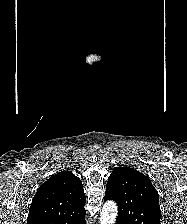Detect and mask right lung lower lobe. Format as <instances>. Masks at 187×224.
<instances>
[{"instance_id": "98d812e1", "label": "right lung lower lobe", "mask_w": 187, "mask_h": 224, "mask_svg": "<svg viewBox=\"0 0 187 224\" xmlns=\"http://www.w3.org/2000/svg\"><path fill=\"white\" fill-rule=\"evenodd\" d=\"M71 224H86V222H85V217L79 219L78 221H74V222H72Z\"/></svg>"}]
</instances>
